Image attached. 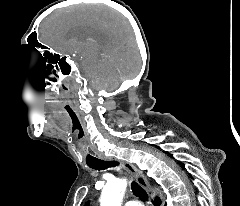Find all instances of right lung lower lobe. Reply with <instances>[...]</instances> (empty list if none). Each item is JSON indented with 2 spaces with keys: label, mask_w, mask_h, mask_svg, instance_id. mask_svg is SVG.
<instances>
[{
  "label": "right lung lower lobe",
  "mask_w": 240,
  "mask_h": 206,
  "mask_svg": "<svg viewBox=\"0 0 240 206\" xmlns=\"http://www.w3.org/2000/svg\"><path fill=\"white\" fill-rule=\"evenodd\" d=\"M160 205V199L159 198H156L155 199V206H159Z\"/></svg>",
  "instance_id": "98d812e1"
}]
</instances>
